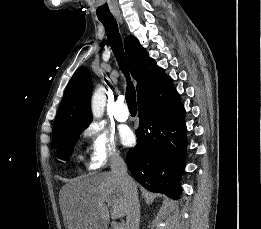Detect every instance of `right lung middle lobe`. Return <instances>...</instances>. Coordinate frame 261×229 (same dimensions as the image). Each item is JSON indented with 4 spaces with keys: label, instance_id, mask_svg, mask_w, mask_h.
<instances>
[{
    "label": "right lung middle lobe",
    "instance_id": "dd1d6c3e",
    "mask_svg": "<svg viewBox=\"0 0 261 229\" xmlns=\"http://www.w3.org/2000/svg\"><path fill=\"white\" fill-rule=\"evenodd\" d=\"M88 125L66 126L60 129L63 136V142L57 148V158L61 160H68L75 142L79 135Z\"/></svg>",
    "mask_w": 261,
    "mask_h": 229
}]
</instances>
